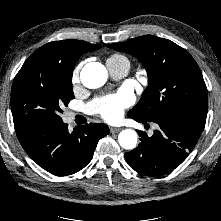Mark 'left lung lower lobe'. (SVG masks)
I'll use <instances>...</instances> for the list:
<instances>
[{"mask_svg":"<svg viewBox=\"0 0 221 221\" xmlns=\"http://www.w3.org/2000/svg\"><path fill=\"white\" fill-rule=\"evenodd\" d=\"M128 116L143 124L154 122L158 125L151 137L138 130L141 142L137 148L125 153L133 170L152 177L165 175L178 167L193 150L206 123V118L193 113L153 120Z\"/></svg>","mask_w":221,"mask_h":221,"instance_id":"1","label":"left lung lower lobe"}]
</instances>
